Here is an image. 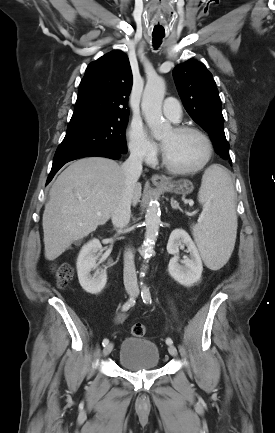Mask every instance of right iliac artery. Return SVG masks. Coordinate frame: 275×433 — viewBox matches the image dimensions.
<instances>
[{
	"instance_id": "1",
	"label": "right iliac artery",
	"mask_w": 275,
	"mask_h": 433,
	"mask_svg": "<svg viewBox=\"0 0 275 433\" xmlns=\"http://www.w3.org/2000/svg\"><path fill=\"white\" fill-rule=\"evenodd\" d=\"M135 303V299L134 297H130V299L122 306V310L123 311H127L131 306H133ZM109 343V340L107 338H105L102 341V345L106 346Z\"/></svg>"
}]
</instances>
